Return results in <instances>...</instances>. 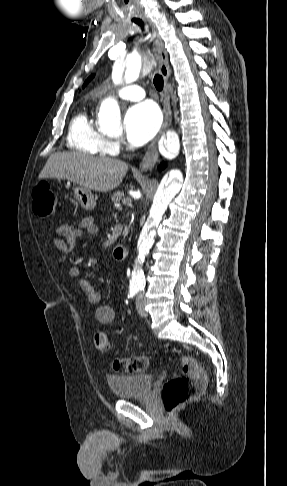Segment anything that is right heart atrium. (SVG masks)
<instances>
[{"mask_svg": "<svg viewBox=\"0 0 287 486\" xmlns=\"http://www.w3.org/2000/svg\"><path fill=\"white\" fill-rule=\"evenodd\" d=\"M109 147L112 152H116L119 149V142L118 141H109Z\"/></svg>", "mask_w": 287, "mask_h": 486, "instance_id": "d8ad5b80", "label": "right heart atrium"}]
</instances>
